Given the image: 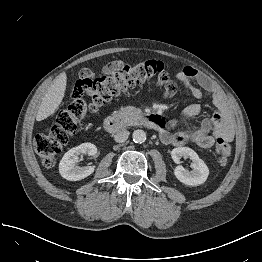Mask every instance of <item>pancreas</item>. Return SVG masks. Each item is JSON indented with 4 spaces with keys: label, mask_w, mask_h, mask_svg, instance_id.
Instances as JSON below:
<instances>
[{
    "label": "pancreas",
    "mask_w": 262,
    "mask_h": 262,
    "mask_svg": "<svg viewBox=\"0 0 262 262\" xmlns=\"http://www.w3.org/2000/svg\"><path fill=\"white\" fill-rule=\"evenodd\" d=\"M113 115L126 123L133 124L141 118V111L133 106H127L122 107L119 111H115Z\"/></svg>",
    "instance_id": "cf45deb5"
}]
</instances>
